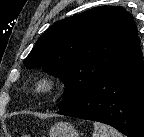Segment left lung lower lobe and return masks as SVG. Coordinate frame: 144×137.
I'll use <instances>...</instances> for the list:
<instances>
[{"mask_svg":"<svg viewBox=\"0 0 144 137\" xmlns=\"http://www.w3.org/2000/svg\"><path fill=\"white\" fill-rule=\"evenodd\" d=\"M139 42L84 97L58 113L108 124L128 137H144V65Z\"/></svg>","mask_w":144,"mask_h":137,"instance_id":"left-lung-lower-lobe-1","label":"left lung lower lobe"}]
</instances>
